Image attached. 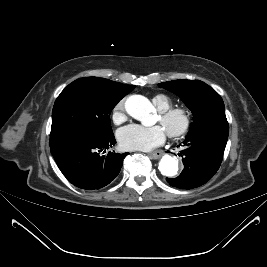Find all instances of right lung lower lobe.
Returning a JSON list of instances; mask_svg holds the SVG:
<instances>
[{
    "label": "right lung lower lobe",
    "mask_w": 267,
    "mask_h": 267,
    "mask_svg": "<svg viewBox=\"0 0 267 267\" xmlns=\"http://www.w3.org/2000/svg\"><path fill=\"white\" fill-rule=\"evenodd\" d=\"M51 153L69 182L86 189H100L111 183L119 174L127 153L108 152L116 141L114 135L101 136L70 131L50 137Z\"/></svg>",
    "instance_id": "right-lung-lower-lobe-1"
}]
</instances>
